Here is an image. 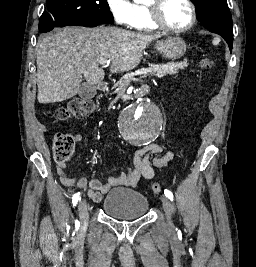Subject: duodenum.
Returning <instances> with one entry per match:
<instances>
[{
	"label": "duodenum",
	"instance_id": "1",
	"mask_svg": "<svg viewBox=\"0 0 256 267\" xmlns=\"http://www.w3.org/2000/svg\"><path fill=\"white\" fill-rule=\"evenodd\" d=\"M97 89L101 91H105L106 89H110V84L108 81H99L97 84ZM148 86L147 85H140L139 89H133V98L134 99H146V94L148 93Z\"/></svg>",
	"mask_w": 256,
	"mask_h": 267
}]
</instances>
